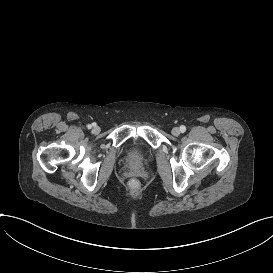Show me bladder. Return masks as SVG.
<instances>
[{
  "label": "bladder",
  "instance_id": "1",
  "mask_svg": "<svg viewBox=\"0 0 273 273\" xmlns=\"http://www.w3.org/2000/svg\"><path fill=\"white\" fill-rule=\"evenodd\" d=\"M121 155L132 168H141L152 159V150L143 142L135 140L123 145Z\"/></svg>",
  "mask_w": 273,
  "mask_h": 273
}]
</instances>
